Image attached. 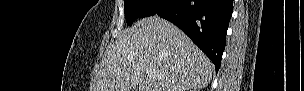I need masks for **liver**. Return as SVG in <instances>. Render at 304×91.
I'll use <instances>...</instances> for the list:
<instances>
[{"label": "liver", "mask_w": 304, "mask_h": 91, "mask_svg": "<svg viewBox=\"0 0 304 91\" xmlns=\"http://www.w3.org/2000/svg\"><path fill=\"white\" fill-rule=\"evenodd\" d=\"M213 72V63L188 36L156 15L138 21L108 47L96 91H198Z\"/></svg>", "instance_id": "1"}]
</instances>
